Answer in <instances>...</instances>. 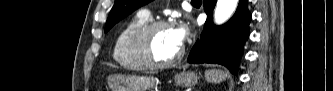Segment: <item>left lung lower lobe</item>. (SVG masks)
<instances>
[{
	"instance_id": "obj_1",
	"label": "left lung lower lobe",
	"mask_w": 333,
	"mask_h": 91,
	"mask_svg": "<svg viewBox=\"0 0 333 91\" xmlns=\"http://www.w3.org/2000/svg\"><path fill=\"white\" fill-rule=\"evenodd\" d=\"M216 0H204L207 27L193 46L187 61L189 63H218L226 66L233 74L237 72L243 46L249 37L251 13L247 0H241L233 17L221 26L212 23Z\"/></svg>"
}]
</instances>
